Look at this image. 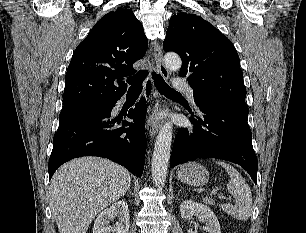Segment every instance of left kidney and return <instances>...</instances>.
I'll list each match as a JSON object with an SVG mask.
<instances>
[{"label": "left kidney", "mask_w": 306, "mask_h": 233, "mask_svg": "<svg viewBox=\"0 0 306 233\" xmlns=\"http://www.w3.org/2000/svg\"><path fill=\"white\" fill-rule=\"evenodd\" d=\"M181 217L189 219L195 214L199 216V220L205 223L204 230L208 233H221L218 218L214 212L207 206L194 202L192 200H185L180 205ZM188 233H197L189 229Z\"/></svg>", "instance_id": "5707ae66"}]
</instances>
